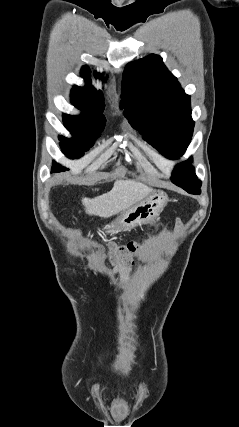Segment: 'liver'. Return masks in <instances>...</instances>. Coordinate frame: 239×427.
Instances as JSON below:
<instances>
[{"label": "liver", "mask_w": 239, "mask_h": 427, "mask_svg": "<svg viewBox=\"0 0 239 427\" xmlns=\"http://www.w3.org/2000/svg\"><path fill=\"white\" fill-rule=\"evenodd\" d=\"M152 189L133 180H116L111 191L94 199L83 198L82 203L89 215L111 217L144 200Z\"/></svg>", "instance_id": "1"}]
</instances>
